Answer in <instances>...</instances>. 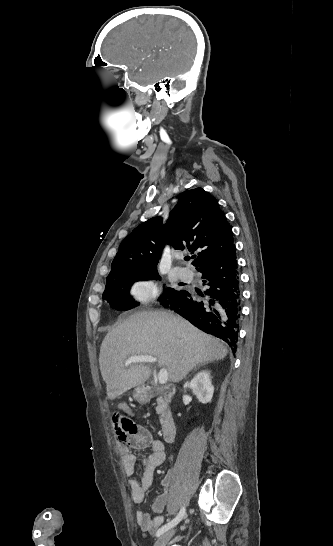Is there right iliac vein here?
<instances>
[{
    "mask_svg": "<svg viewBox=\"0 0 333 546\" xmlns=\"http://www.w3.org/2000/svg\"><path fill=\"white\" fill-rule=\"evenodd\" d=\"M175 530H168L165 533H163L155 542L154 546H165L167 542L171 539V537L174 535Z\"/></svg>",
    "mask_w": 333,
    "mask_h": 546,
    "instance_id": "63e3f726",
    "label": "right iliac vein"
}]
</instances>
